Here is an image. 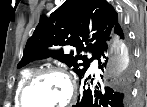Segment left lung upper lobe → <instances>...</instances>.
Wrapping results in <instances>:
<instances>
[{
	"instance_id": "1",
	"label": "left lung upper lobe",
	"mask_w": 147,
	"mask_h": 107,
	"mask_svg": "<svg viewBox=\"0 0 147 107\" xmlns=\"http://www.w3.org/2000/svg\"><path fill=\"white\" fill-rule=\"evenodd\" d=\"M118 20L117 12L106 0H66L50 17L40 18L17 67L53 57L73 67L81 77ZM82 51L91 52L92 58L82 55Z\"/></svg>"
}]
</instances>
